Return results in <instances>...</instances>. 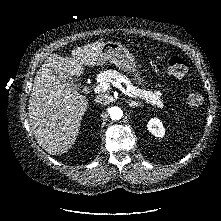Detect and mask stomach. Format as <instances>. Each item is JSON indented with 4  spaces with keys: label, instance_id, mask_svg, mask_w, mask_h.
Wrapping results in <instances>:
<instances>
[{
    "label": "stomach",
    "instance_id": "0dacf381",
    "mask_svg": "<svg viewBox=\"0 0 221 221\" xmlns=\"http://www.w3.org/2000/svg\"><path fill=\"white\" fill-rule=\"evenodd\" d=\"M107 62L115 64L124 72L130 73L138 85H145L146 80L141 73L135 68L134 56L120 42H106L101 50L98 65H103Z\"/></svg>",
    "mask_w": 221,
    "mask_h": 221
}]
</instances>
